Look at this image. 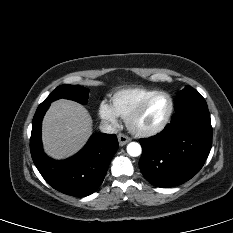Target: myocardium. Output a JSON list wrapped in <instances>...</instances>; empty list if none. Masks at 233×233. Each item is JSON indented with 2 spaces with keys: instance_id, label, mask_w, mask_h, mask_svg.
Listing matches in <instances>:
<instances>
[{
  "instance_id": "f54148a6",
  "label": "myocardium",
  "mask_w": 233,
  "mask_h": 233,
  "mask_svg": "<svg viewBox=\"0 0 233 233\" xmlns=\"http://www.w3.org/2000/svg\"><path fill=\"white\" fill-rule=\"evenodd\" d=\"M159 95H165L169 99V110L163 119V121L156 127L151 129H140L136 127L135 121L140 116V114L144 111L146 106L150 103L152 99ZM174 112V100L172 96L165 91H156L152 93L151 95L147 96L145 99H143L135 108L134 110L128 115L126 118V125L131 133H133L136 136L139 137H151L154 135L159 134L162 132L166 126L169 124L172 115Z\"/></svg>"
}]
</instances>
